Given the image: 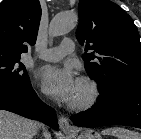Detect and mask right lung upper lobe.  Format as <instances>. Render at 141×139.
Here are the masks:
<instances>
[{"label":"right lung upper lobe","instance_id":"right-lung-upper-lobe-1","mask_svg":"<svg viewBox=\"0 0 141 139\" xmlns=\"http://www.w3.org/2000/svg\"><path fill=\"white\" fill-rule=\"evenodd\" d=\"M41 18L39 0L0 3V57H20L27 43L34 45Z\"/></svg>","mask_w":141,"mask_h":139}]
</instances>
